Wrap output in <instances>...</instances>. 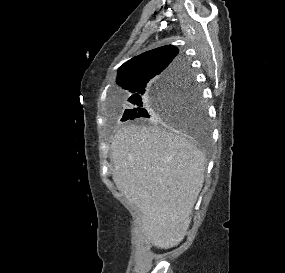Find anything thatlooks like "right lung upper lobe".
<instances>
[{
	"label": "right lung upper lobe",
	"mask_w": 285,
	"mask_h": 273,
	"mask_svg": "<svg viewBox=\"0 0 285 273\" xmlns=\"http://www.w3.org/2000/svg\"><path fill=\"white\" fill-rule=\"evenodd\" d=\"M183 69H187V65L178 49L167 45L144 52L124 63L118 69L116 82L131 94L129 99H132L146 93L158 80Z\"/></svg>",
	"instance_id": "cb5924a9"
}]
</instances>
